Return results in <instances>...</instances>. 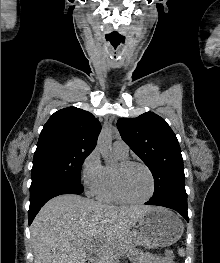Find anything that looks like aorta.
Here are the masks:
<instances>
[{
	"instance_id": "obj_1",
	"label": "aorta",
	"mask_w": 220,
	"mask_h": 263,
	"mask_svg": "<svg viewBox=\"0 0 220 263\" xmlns=\"http://www.w3.org/2000/svg\"><path fill=\"white\" fill-rule=\"evenodd\" d=\"M111 133L109 131H103L98 138V147L106 161L109 160V151L111 148Z\"/></svg>"
}]
</instances>
